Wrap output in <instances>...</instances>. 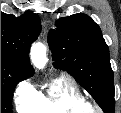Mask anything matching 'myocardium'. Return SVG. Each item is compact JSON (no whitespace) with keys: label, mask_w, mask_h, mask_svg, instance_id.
I'll use <instances>...</instances> for the list:
<instances>
[{"label":"myocardium","mask_w":121,"mask_h":113,"mask_svg":"<svg viewBox=\"0 0 121 113\" xmlns=\"http://www.w3.org/2000/svg\"><path fill=\"white\" fill-rule=\"evenodd\" d=\"M84 110L92 113L93 111L97 113H102L103 108L100 107L98 104H87V106L84 108Z\"/></svg>","instance_id":"f54148a6"}]
</instances>
